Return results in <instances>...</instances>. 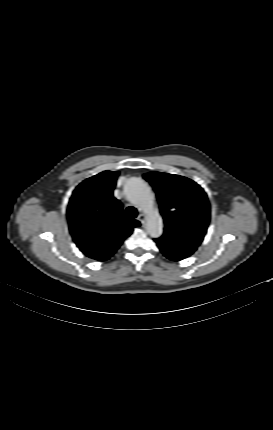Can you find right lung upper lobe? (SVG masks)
<instances>
[{
    "label": "right lung upper lobe",
    "instance_id": "right-lung-upper-lobe-1",
    "mask_svg": "<svg viewBox=\"0 0 273 430\" xmlns=\"http://www.w3.org/2000/svg\"><path fill=\"white\" fill-rule=\"evenodd\" d=\"M118 172L104 171L80 183L67 208L70 233L79 249L98 261L109 259L130 236L137 220L123 218V206L114 198Z\"/></svg>",
    "mask_w": 273,
    "mask_h": 430
}]
</instances>
